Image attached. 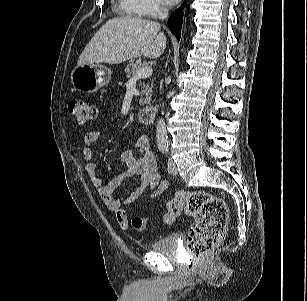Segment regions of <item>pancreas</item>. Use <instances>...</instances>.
Wrapping results in <instances>:
<instances>
[{
	"mask_svg": "<svg viewBox=\"0 0 307 301\" xmlns=\"http://www.w3.org/2000/svg\"><path fill=\"white\" fill-rule=\"evenodd\" d=\"M143 67H148V63L146 61H142L141 59H138L137 61H130L125 68V73L128 77H132L135 75L138 69ZM139 85L141 86L140 83ZM151 93H152V87H149L148 83H144L143 86L141 87V99H140L141 105H146L150 103Z\"/></svg>",
	"mask_w": 307,
	"mask_h": 301,
	"instance_id": "obj_1",
	"label": "pancreas"
}]
</instances>
